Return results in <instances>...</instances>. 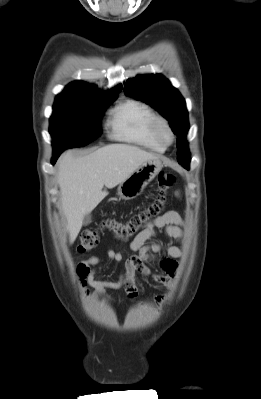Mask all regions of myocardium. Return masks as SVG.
<instances>
[{
  "instance_id": "f54148a6",
  "label": "myocardium",
  "mask_w": 261,
  "mask_h": 399,
  "mask_svg": "<svg viewBox=\"0 0 261 399\" xmlns=\"http://www.w3.org/2000/svg\"><path fill=\"white\" fill-rule=\"evenodd\" d=\"M152 129L155 137L165 146L171 145L175 140V133L169 123V121L163 116L156 115L153 123ZM167 132L169 137L165 135Z\"/></svg>"
}]
</instances>
